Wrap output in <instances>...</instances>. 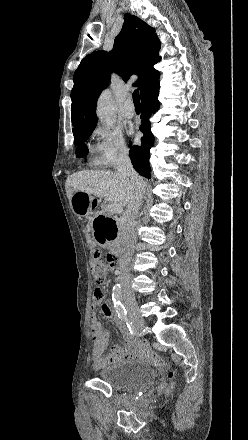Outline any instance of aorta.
<instances>
[{"mask_svg": "<svg viewBox=\"0 0 248 440\" xmlns=\"http://www.w3.org/2000/svg\"><path fill=\"white\" fill-rule=\"evenodd\" d=\"M97 115L106 125H112L115 121L112 97L108 92L102 93L98 100Z\"/></svg>", "mask_w": 248, "mask_h": 440, "instance_id": "762f6f07", "label": "aorta"}]
</instances>
